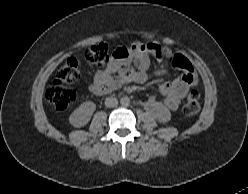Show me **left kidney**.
Instances as JSON below:
<instances>
[{
    "label": "left kidney",
    "mask_w": 248,
    "mask_h": 194,
    "mask_svg": "<svg viewBox=\"0 0 248 194\" xmlns=\"http://www.w3.org/2000/svg\"><path fill=\"white\" fill-rule=\"evenodd\" d=\"M158 111L154 113L155 119L159 122L166 123L170 120V112L169 110L163 106L162 104H158Z\"/></svg>",
    "instance_id": "obj_1"
}]
</instances>
